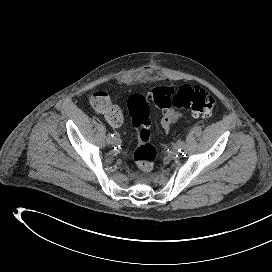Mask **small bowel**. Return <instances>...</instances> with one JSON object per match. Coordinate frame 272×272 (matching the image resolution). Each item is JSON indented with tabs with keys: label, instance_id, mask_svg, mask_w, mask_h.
<instances>
[{
	"label": "small bowel",
	"instance_id": "c3829d8e",
	"mask_svg": "<svg viewBox=\"0 0 272 272\" xmlns=\"http://www.w3.org/2000/svg\"><path fill=\"white\" fill-rule=\"evenodd\" d=\"M97 94H102L105 96L107 105L104 108H98L94 106L95 109L100 113H103L112 126L119 127L122 124L121 113L114 105L110 103L109 98L105 93L99 92ZM181 117L182 114L175 109H169L165 111L160 121L164 131L168 132L181 119Z\"/></svg>",
	"mask_w": 272,
	"mask_h": 272
}]
</instances>
